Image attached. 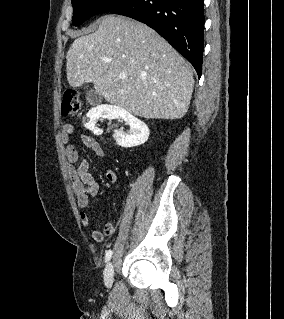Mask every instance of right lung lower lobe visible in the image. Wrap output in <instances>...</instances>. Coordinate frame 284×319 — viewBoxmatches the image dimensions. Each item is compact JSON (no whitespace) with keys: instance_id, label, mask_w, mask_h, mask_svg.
I'll return each instance as SVG.
<instances>
[{"instance_id":"98d812e1","label":"right lung lower lobe","mask_w":284,"mask_h":319,"mask_svg":"<svg viewBox=\"0 0 284 319\" xmlns=\"http://www.w3.org/2000/svg\"><path fill=\"white\" fill-rule=\"evenodd\" d=\"M203 0H130L109 12L147 24L202 74Z\"/></svg>"}]
</instances>
